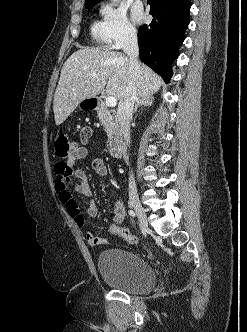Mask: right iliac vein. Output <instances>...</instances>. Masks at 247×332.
I'll return each instance as SVG.
<instances>
[{"mask_svg": "<svg viewBox=\"0 0 247 332\" xmlns=\"http://www.w3.org/2000/svg\"><path fill=\"white\" fill-rule=\"evenodd\" d=\"M131 205L133 206L134 210L137 213V216H138L141 227L143 229H147L148 228V221H147V216H146L144 208L142 207L140 202L137 201V200H132Z\"/></svg>", "mask_w": 247, "mask_h": 332, "instance_id": "right-iliac-vein-1", "label": "right iliac vein"}]
</instances>
